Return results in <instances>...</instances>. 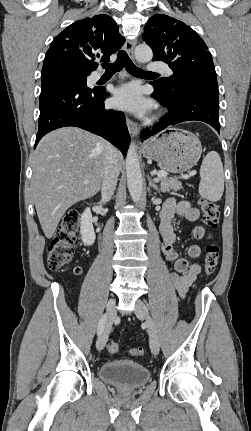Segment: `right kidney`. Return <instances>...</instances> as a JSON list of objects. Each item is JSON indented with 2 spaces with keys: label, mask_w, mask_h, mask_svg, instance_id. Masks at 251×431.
<instances>
[{
  "label": "right kidney",
  "mask_w": 251,
  "mask_h": 431,
  "mask_svg": "<svg viewBox=\"0 0 251 431\" xmlns=\"http://www.w3.org/2000/svg\"><path fill=\"white\" fill-rule=\"evenodd\" d=\"M80 234L85 246L93 245L96 236L92 224V213L90 208H86L81 215Z\"/></svg>",
  "instance_id": "right-kidney-1"
}]
</instances>
